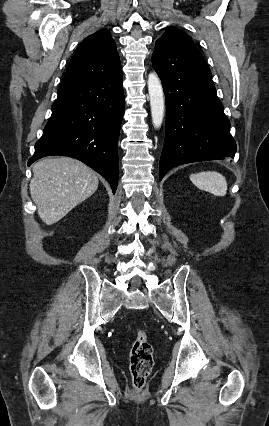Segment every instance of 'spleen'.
<instances>
[{
	"label": "spleen",
	"mask_w": 269,
	"mask_h": 426,
	"mask_svg": "<svg viewBox=\"0 0 269 426\" xmlns=\"http://www.w3.org/2000/svg\"><path fill=\"white\" fill-rule=\"evenodd\" d=\"M190 180L200 189L215 196L223 197L227 193L225 177L215 171H205L190 175Z\"/></svg>",
	"instance_id": "1"
}]
</instances>
